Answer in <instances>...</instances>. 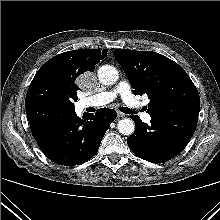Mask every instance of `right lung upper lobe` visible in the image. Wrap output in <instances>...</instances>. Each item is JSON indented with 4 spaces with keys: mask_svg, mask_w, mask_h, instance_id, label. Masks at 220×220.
<instances>
[{
    "mask_svg": "<svg viewBox=\"0 0 220 220\" xmlns=\"http://www.w3.org/2000/svg\"><path fill=\"white\" fill-rule=\"evenodd\" d=\"M107 50L80 49L67 51L48 60L36 73L34 78L42 75H55L76 80L85 72H93L95 65L104 59Z\"/></svg>",
    "mask_w": 220,
    "mask_h": 220,
    "instance_id": "obj_1",
    "label": "right lung upper lobe"
}]
</instances>
